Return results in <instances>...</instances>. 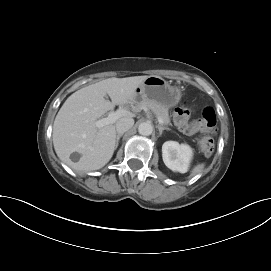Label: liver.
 Masks as SVG:
<instances>
[{
	"label": "liver",
	"instance_id": "obj_1",
	"mask_svg": "<svg viewBox=\"0 0 271 271\" xmlns=\"http://www.w3.org/2000/svg\"><path fill=\"white\" fill-rule=\"evenodd\" d=\"M149 76L108 78L81 88L67 98L53 124V145L59 159L76 171H93L104 167L116 147V123L133 117L126 111L117 121L97 128L94 123L115 105L135 103L136 90ZM109 95L111 102L105 99ZM81 157L73 162L70 155Z\"/></svg>",
	"mask_w": 271,
	"mask_h": 271
}]
</instances>
